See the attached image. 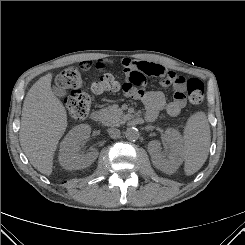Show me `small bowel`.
Segmentation results:
<instances>
[{
	"instance_id": "small-bowel-1",
	"label": "small bowel",
	"mask_w": 245,
	"mask_h": 245,
	"mask_svg": "<svg viewBox=\"0 0 245 245\" xmlns=\"http://www.w3.org/2000/svg\"><path fill=\"white\" fill-rule=\"evenodd\" d=\"M123 66L127 79L121 86L122 93L126 97L141 101L146 108V116L151 120L156 118L158 113L165 110L170 116H179L185 108L187 101L185 96L186 80L176 75L174 72L167 71L162 65L144 60L122 58L117 60ZM113 61L107 59H97L96 61L84 60L81 62L83 69L91 67L105 68ZM133 73L145 76H156L163 78L162 85L171 86L174 90L173 98L167 101L161 91H151L146 88L145 79L139 86L134 85L130 77Z\"/></svg>"
}]
</instances>
